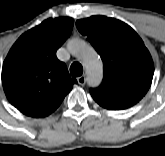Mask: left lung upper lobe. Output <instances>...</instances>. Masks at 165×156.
<instances>
[{"instance_id":"1","label":"left lung upper lobe","mask_w":165,"mask_h":156,"mask_svg":"<svg viewBox=\"0 0 165 156\" xmlns=\"http://www.w3.org/2000/svg\"><path fill=\"white\" fill-rule=\"evenodd\" d=\"M76 27L104 63L102 84L90 89L93 99L110 110L139 102L154 74L152 57L139 35L124 22L100 15L79 19Z\"/></svg>"}]
</instances>
